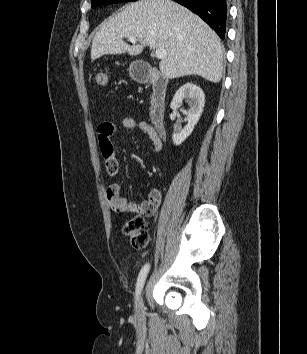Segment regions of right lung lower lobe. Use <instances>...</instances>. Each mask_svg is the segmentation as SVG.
<instances>
[{
    "label": "right lung lower lobe",
    "instance_id": "98d812e1",
    "mask_svg": "<svg viewBox=\"0 0 307 354\" xmlns=\"http://www.w3.org/2000/svg\"><path fill=\"white\" fill-rule=\"evenodd\" d=\"M199 15L224 39L227 21V0H174Z\"/></svg>",
    "mask_w": 307,
    "mask_h": 354
}]
</instances>
